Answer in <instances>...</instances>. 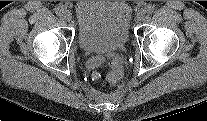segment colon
Wrapping results in <instances>:
<instances>
[{"mask_svg": "<svg viewBox=\"0 0 207 121\" xmlns=\"http://www.w3.org/2000/svg\"><path fill=\"white\" fill-rule=\"evenodd\" d=\"M121 70H122L121 65L117 62H113L111 64L110 71L107 75L108 80L110 82H116L119 78Z\"/></svg>", "mask_w": 207, "mask_h": 121, "instance_id": "colon-1", "label": "colon"}]
</instances>
